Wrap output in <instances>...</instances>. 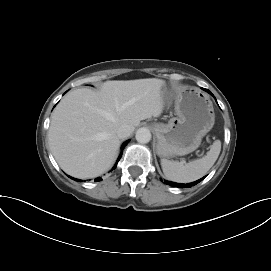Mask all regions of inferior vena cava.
Returning a JSON list of instances; mask_svg holds the SVG:
<instances>
[{
    "label": "inferior vena cava",
    "mask_w": 271,
    "mask_h": 271,
    "mask_svg": "<svg viewBox=\"0 0 271 271\" xmlns=\"http://www.w3.org/2000/svg\"><path fill=\"white\" fill-rule=\"evenodd\" d=\"M133 132L132 128L128 125H122L118 128L116 131L117 136L122 139L130 136V134Z\"/></svg>",
    "instance_id": "inferior-vena-cava-1"
}]
</instances>
